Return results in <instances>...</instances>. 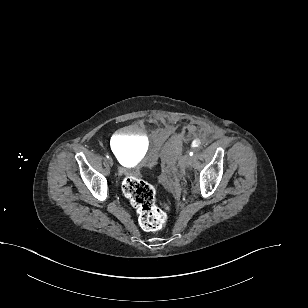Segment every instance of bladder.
Instances as JSON below:
<instances>
[{
	"instance_id": "1",
	"label": "bladder",
	"mask_w": 308,
	"mask_h": 308,
	"mask_svg": "<svg viewBox=\"0 0 308 308\" xmlns=\"http://www.w3.org/2000/svg\"><path fill=\"white\" fill-rule=\"evenodd\" d=\"M149 148L145 132L136 125L117 131L111 139V149L123 165L132 164L146 155Z\"/></svg>"
}]
</instances>
